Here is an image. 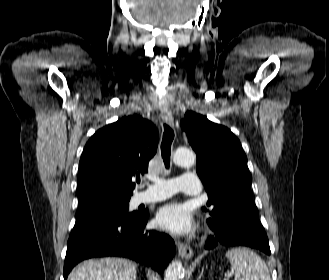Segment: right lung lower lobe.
<instances>
[{"mask_svg":"<svg viewBox=\"0 0 329 280\" xmlns=\"http://www.w3.org/2000/svg\"><path fill=\"white\" fill-rule=\"evenodd\" d=\"M148 217V211L130 216L101 209L77 219L67 244L64 280L82 260L104 256L127 257L162 272L175 253L174 241L166 234L145 230Z\"/></svg>","mask_w":329,"mask_h":280,"instance_id":"right-lung-lower-lobe-1","label":"right lung lower lobe"}]
</instances>
